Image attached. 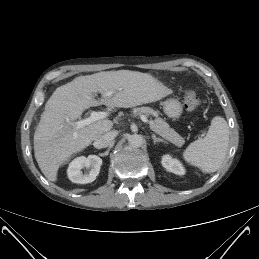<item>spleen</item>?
<instances>
[{
    "label": "spleen",
    "mask_w": 259,
    "mask_h": 259,
    "mask_svg": "<svg viewBox=\"0 0 259 259\" xmlns=\"http://www.w3.org/2000/svg\"><path fill=\"white\" fill-rule=\"evenodd\" d=\"M229 128L226 120L215 116L204 138L192 142L183 152L184 160L205 173L215 172L226 156Z\"/></svg>",
    "instance_id": "spleen-1"
}]
</instances>
